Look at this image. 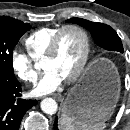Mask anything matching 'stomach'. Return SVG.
<instances>
[{
  "label": "stomach",
  "mask_w": 130,
  "mask_h": 130,
  "mask_svg": "<svg viewBox=\"0 0 130 130\" xmlns=\"http://www.w3.org/2000/svg\"><path fill=\"white\" fill-rule=\"evenodd\" d=\"M91 75L94 82L84 89V79ZM120 76L115 65L105 59L93 64L85 76L68 92L62 113L87 124L102 123L113 114L120 96Z\"/></svg>",
  "instance_id": "obj_1"
}]
</instances>
